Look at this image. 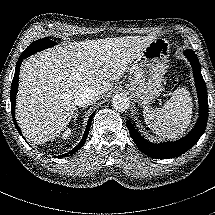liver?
<instances>
[{
  "label": "liver",
  "instance_id": "1",
  "mask_svg": "<svg viewBox=\"0 0 215 215\" xmlns=\"http://www.w3.org/2000/svg\"><path fill=\"white\" fill-rule=\"evenodd\" d=\"M153 36H124L64 43L24 60L19 73L16 120L32 145L55 139L77 110L79 90L108 93Z\"/></svg>",
  "mask_w": 215,
  "mask_h": 215
}]
</instances>
